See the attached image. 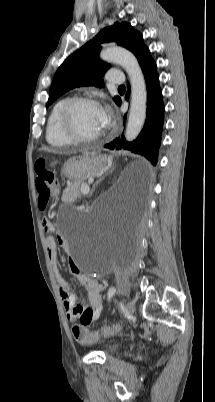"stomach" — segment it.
Returning a JSON list of instances; mask_svg holds the SVG:
<instances>
[{
	"instance_id": "1",
	"label": "stomach",
	"mask_w": 215,
	"mask_h": 402,
	"mask_svg": "<svg viewBox=\"0 0 215 402\" xmlns=\"http://www.w3.org/2000/svg\"><path fill=\"white\" fill-rule=\"evenodd\" d=\"M104 166V159L81 156L68 160L64 164L61 172L62 175L75 182H83L97 175Z\"/></svg>"
}]
</instances>
